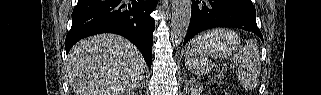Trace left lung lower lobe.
Here are the masks:
<instances>
[{
    "instance_id": "obj_1",
    "label": "left lung lower lobe",
    "mask_w": 321,
    "mask_h": 95,
    "mask_svg": "<svg viewBox=\"0 0 321 95\" xmlns=\"http://www.w3.org/2000/svg\"><path fill=\"white\" fill-rule=\"evenodd\" d=\"M215 27L240 28L262 38L251 0H192L191 20L184 45L201 31Z\"/></svg>"
}]
</instances>
